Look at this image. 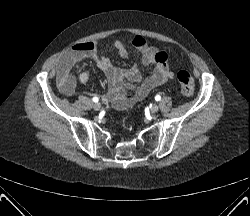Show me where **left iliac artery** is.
Wrapping results in <instances>:
<instances>
[{"instance_id": "left-iliac-artery-1", "label": "left iliac artery", "mask_w": 250, "mask_h": 216, "mask_svg": "<svg viewBox=\"0 0 250 216\" xmlns=\"http://www.w3.org/2000/svg\"><path fill=\"white\" fill-rule=\"evenodd\" d=\"M160 99H161L160 95H156V96H155V100H156V101H160Z\"/></svg>"}]
</instances>
